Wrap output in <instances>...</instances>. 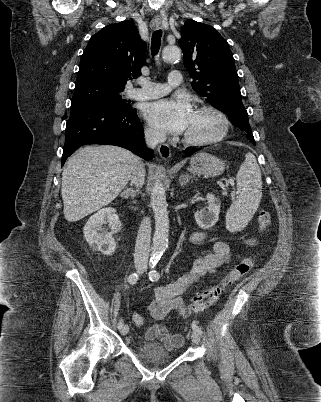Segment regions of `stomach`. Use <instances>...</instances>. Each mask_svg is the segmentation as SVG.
<instances>
[{"label": "stomach", "instance_id": "1", "mask_svg": "<svg viewBox=\"0 0 321 402\" xmlns=\"http://www.w3.org/2000/svg\"><path fill=\"white\" fill-rule=\"evenodd\" d=\"M225 169V163L220 158L208 153H197L190 159L188 170L197 175L217 176Z\"/></svg>", "mask_w": 321, "mask_h": 402}]
</instances>
